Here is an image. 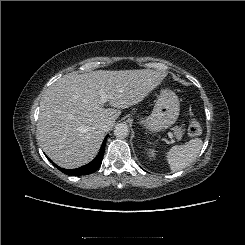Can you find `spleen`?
I'll return each instance as SVG.
<instances>
[{
    "instance_id": "obj_1",
    "label": "spleen",
    "mask_w": 245,
    "mask_h": 245,
    "mask_svg": "<svg viewBox=\"0 0 245 245\" xmlns=\"http://www.w3.org/2000/svg\"><path fill=\"white\" fill-rule=\"evenodd\" d=\"M203 145L200 138L191 139L184 145H174L166 152L167 162L172 171H179L191 164Z\"/></svg>"
}]
</instances>
